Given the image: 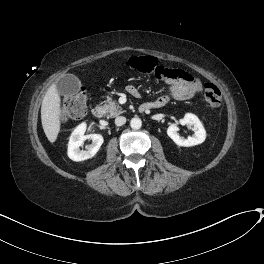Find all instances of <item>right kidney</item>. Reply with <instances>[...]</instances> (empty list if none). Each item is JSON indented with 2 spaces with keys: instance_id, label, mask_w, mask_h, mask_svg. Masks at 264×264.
Instances as JSON below:
<instances>
[{
  "instance_id": "1",
  "label": "right kidney",
  "mask_w": 264,
  "mask_h": 264,
  "mask_svg": "<svg viewBox=\"0 0 264 264\" xmlns=\"http://www.w3.org/2000/svg\"><path fill=\"white\" fill-rule=\"evenodd\" d=\"M86 123H81L72 132L68 143V157L73 161H83L92 158L103 144V137L100 134L85 136ZM86 139L92 140V144L86 146V150H80Z\"/></svg>"
}]
</instances>
